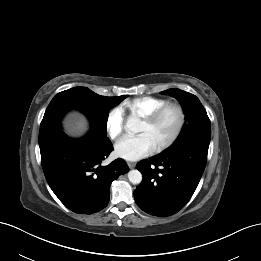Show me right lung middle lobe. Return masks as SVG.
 <instances>
[{"label":"right lung middle lobe","mask_w":261,"mask_h":261,"mask_svg":"<svg viewBox=\"0 0 261 261\" xmlns=\"http://www.w3.org/2000/svg\"><path fill=\"white\" fill-rule=\"evenodd\" d=\"M127 95L119 97L101 96L87 87H74L58 93L46 109L40 128L60 123L62 116L76 109L84 113L91 122L92 131L106 137V124L110 109L118 105Z\"/></svg>","instance_id":"1"}]
</instances>
